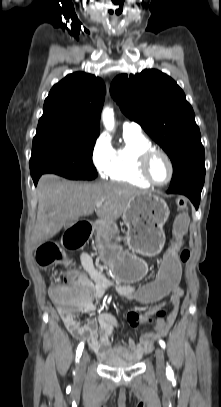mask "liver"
<instances>
[{
	"instance_id": "obj_1",
	"label": "liver",
	"mask_w": 221,
	"mask_h": 407,
	"mask_svg": "<svg viewBox=\"0 0 221 407\" xmlns=\"http://www.w3.org/2000/svg\"><path fill=\"white\" fill-rule=\"evenodd\" d=\"M36 193L38 211L31 241L39 246L94 211L103 222L113 224L123 215L129 200L145 192L127 184L76 183L45 174L39 179ZM99 201L103 203L96 207Z\"/></svg>"
}]
</instances>
